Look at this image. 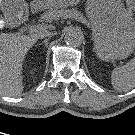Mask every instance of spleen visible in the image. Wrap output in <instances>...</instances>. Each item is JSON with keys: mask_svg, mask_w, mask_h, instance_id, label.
Here are the masks:
<instances>
[{"mask_svg": "<svg viewBox=\"0 0 135 135\" xmlns=\"http://www.w3.org/2000/svg\"><path fill=\"white\" fill-rule=\"evenodd\" d=\"M112 86L117 91H129L135 87V58L124 66L116 67L111 74Z\"/></svg>", "mask_w": 135, "mask_h": 135, "instance_id": "3e777b00", "label": "spleen"}]
</instances>
